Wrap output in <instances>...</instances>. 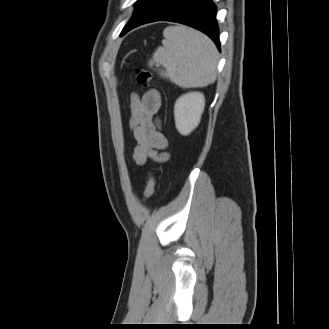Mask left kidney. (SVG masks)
<instances>
[{
  "label": "left kidney",
  "instance_id": "left-kidney-1",
  "mask_svg": "<svg viewBox=\"0 0 329 329\" xmlns=\"http://www.w3.org/2000/svg\"><path fill=\"white\" fill-rule=\"evenodd\" d=\"M204 106V95L199 92L184 94L176 100L175 125L181 135H189L199 125Z\"/></svg>",
  "mask_w": 329,
  "mask_h": 329
}]
</instances>
